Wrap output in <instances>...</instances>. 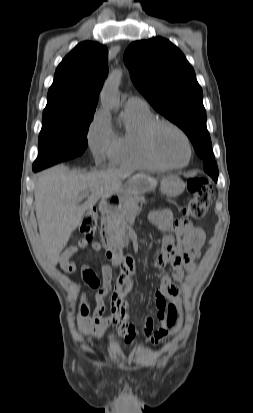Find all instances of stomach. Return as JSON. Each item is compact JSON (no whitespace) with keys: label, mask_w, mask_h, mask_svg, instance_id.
<instances>
[{"label":"stomach","mask_w":253,"mask_h":413,"mask_svg":"<svg viewBox=\"0 0 253 413\" xmlns=\"http://www.w3.org/2000/svg\"><path fill=\"white\" fill-rule=\"evenodd\" d=\"M156 185L157 181L154 178L143 173L135 174L128 179L117 193L103 198L102 202L107 206L121 205L131 196L155 190ZM184 189L185 183L178 176H167L160 181V190L168 197H177L183 193Z\"/></svg>","instance_id":"obj_1"}]
</instances>
